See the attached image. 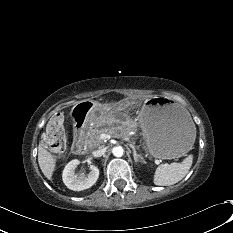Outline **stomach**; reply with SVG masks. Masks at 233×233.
I'll list each match as a JSON object with an SVG mask.
<instances>
[{"label":"stomach","mask_w":233,"mask_h":233,"mask_svg":"<svg viewBox=\"0 0 233 233\" xmlns=\"http://www.w3.org/2000/svg\"><path fill=\"white\" fill-rule=\"evenodd\" d=\"M128 99L110 100L106 107L95 106L88 118L99 123L103 119L119 120L132 110ZM140 127L146 149L151 156L174 159L185 155L196 137V127L190 114L166 98H155L144 104Z\"/></svg>","instance_id":"0dacf381"}]
</instances>
